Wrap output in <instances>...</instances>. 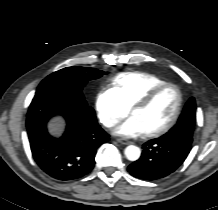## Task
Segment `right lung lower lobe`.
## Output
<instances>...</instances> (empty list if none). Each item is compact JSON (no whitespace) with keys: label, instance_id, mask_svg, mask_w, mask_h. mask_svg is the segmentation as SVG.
<instances>
[{"label":"right lung lower lobe","instance_id":"right-lung-lower-lobe-1","mask_svg":"<svg viewBox=\"0 0 218 210\" xmlns=\"http://www.w3.org/2000/svg\"><path fill=\"white\" fill-rule=\"evenodd\" d=\"M55 115H62L67 123L60 138L47 131V122ZM26 128L38 166L49 176L63 181L88 174L95 165L97 148L109 140L90 106L56 98L33 99Z\"/></svg>","mask_w":218,"mask_h":210}]
</instances>
